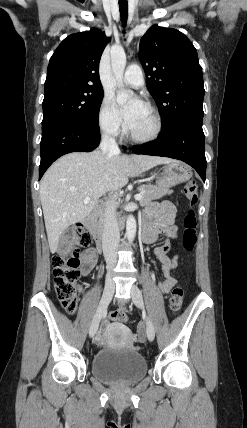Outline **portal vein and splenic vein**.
<instances>
[{
  "label": "portal vein and splenic vein",
  "mask_w": 247,
  "mask_h": 428,
  "mask_svg": "<svg viewBox=\"0 0 247 428\" xmlns=\"http://www.w3.org/2000/svg\"><path fill=\"white\" fill-rule=\"evenodd\" d=\"M142 199V194L135 195V200L140 201ZM90 201V197H85L84 203L87 204Z\"/></svg>",
  "instance_id": "portal-vein-and-splenic-vein-1"
}]
</instances>
